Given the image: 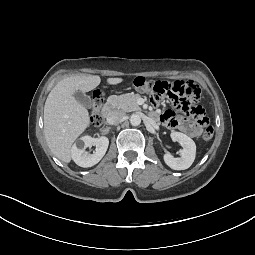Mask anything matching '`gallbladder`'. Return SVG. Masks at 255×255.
<instances>
[{
	"instance_id": "1",
	"label": "gallbladder",
	"mask_w": 255,
	"mask_h": 255,
	"mask_svg": "<svg viewBox=\"0 0 255 255\" xmlns=\"http://www.w3.org/2000/svg\"><path fill=\"white\" fill-rule=\"evenodd\" d=\"M74 97L85 108H91L92 100L89 95L83 93L82 91H77L74 94Z\"/></svg>"
}]
</instances>
